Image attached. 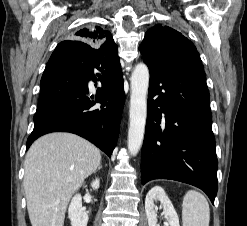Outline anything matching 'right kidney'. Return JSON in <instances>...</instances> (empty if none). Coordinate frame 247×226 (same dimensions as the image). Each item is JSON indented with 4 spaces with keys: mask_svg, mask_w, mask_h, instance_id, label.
Listing matches in <instances>:
<instances>
[{
    "mask_svg": "<svg viewBox=\"0 0 247 226\" xmlns=\"http://www.w3.org/2000/svg\"><path fill=\"white\" fill-rule=\"evenodd\" d=\"M91 186L94 190H97L100 186V180L95 179ZM68 217L71 221V226H87L88 223V214L84 211L82 207V197L80 194H76L68 209Z\"/></svg>",
    "mask_w": 247,
    "mask_h": 226,
    "instance_id": "right-kidney-1",
    "label": "right kidney"
}]
</instances>
